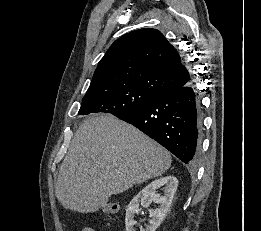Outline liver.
<instances>
[{"instance_id": "liver-1", "label": "liver", "mask_w": 261, "mask_h": 231, "mask_svg": "<svg viewBox=\"0 0 261 231\" xmlns=\"http://www.w3.org/2000/svg\"><path fill=\"white\" fill-rule=\"evenodd\" d=\"M170 153L134 126L111 114H95L77 129L64 158L55 194L64 208L93 213L110 196L159 177Z\"/></svg>"}]
</instances>
